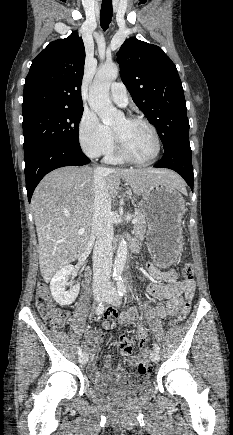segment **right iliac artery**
<instances>
[{
	"label": "right iliac artery",
	"mask_w": 233,
	"mask_h": 435,
	"mask_svg": "<svg viewBox=\"0 0 233 435\" xmlns=\"http://www.w3.org/2000/svg\"><path fill=\"white\" fill-rule=\"evenodd\" d=\"M103 311H104V304L101 302V303H99L98 306L96 307L95 312H96L97 315H100V314L103 313ZM81 353H82V349H81V347H78V348H77V354H78V355H81Z\"/></svg>",
	"instance_id": "1"
}]
</instances>
